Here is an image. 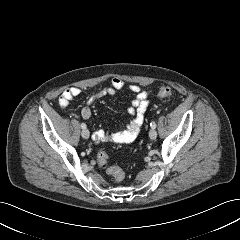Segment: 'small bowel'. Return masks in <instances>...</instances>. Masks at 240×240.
I'll return each mask as SVG.
<instances>
[{"label": "small bowel", "instance_id": "obj_1", "mask_svg": "<svg viewBox=\"0 0 240 240\" xmlns=\"http://www.w3.org/2000/svg\"><path fill=\"white\" fill-rule=\"evenodd\" d=\"M125 83L119 78H113L109 86L103 87L95 91L88 99L86 106L81 110V116L85 120H89L92 116L91 104L103 96H114L117 91L124 89ZM129 90L135 94L131 105L127 111L133 116V119L119 131L111 133L107 130L100 129L94 133L98 141L125 144L134 141L145 121V112L148 108V94L139 85L132 84ZM81 94V89L78 87H69L65 89L58 103L61 108H66L69 102Z\"/></svg>", "mask_w": 240, "mask_h": 240}]
</instances>
